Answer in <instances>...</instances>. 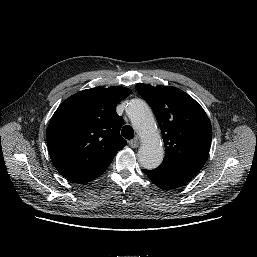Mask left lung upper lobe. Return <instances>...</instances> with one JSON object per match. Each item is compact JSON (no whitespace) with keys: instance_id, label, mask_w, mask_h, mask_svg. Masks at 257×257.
<instances>
[{"instance_id":"obj_1","label":"left lung upper lobe","mask_w":257,"mask_h":257,"mask_svg":"<svg viewBox=\"0 0 257 257\" xmlns=\"http://www.w3.org/2000/svg\"><path fill=\"white\" fill-rule=\"evenodd\" d=\"M159 123L165 157L159 166L195 176L205 164L212 140V127L203 108L187 93L165 86L136 85Z\"/></svg>"}]
</instances>
